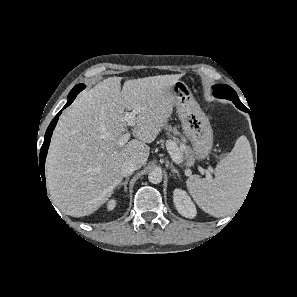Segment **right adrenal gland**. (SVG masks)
I'll list each match as a JSON object with an SVG mask.
<instances>
[{
	"mask_svg": "<svg viewBox=\"0 0 297 297\" xmlns=\"http://www.w3.org/2000/svg\"><path fill=\"white\" fill-rule=\"evenodd\" d=\"M129 178H126L125 181L119 183L117 186V189H120L121 186H124V191L127 192V184H128Z\"/></svg>",
	"mask_w": 297,
	"mask_h": 297,
	"instance_id": "right-adrenal-gland-1",
	"label": "right adrenal gland"
}]
</instances>
